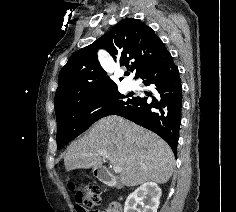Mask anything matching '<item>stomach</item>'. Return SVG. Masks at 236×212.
<instances>
[{
  "label": "stomach",
  "instance_id": "0dacf381",
  "mask_svg": "<svg viewBox=\"0 0 236 212\" xmlns=\"http://www.w3.org/2000/svg\"><path fill=\"white\" fill-rule=\"evenodd\" d=\"M93 173H94V174H97V176H98V172H96V170H94Z\"/></svg>",
  "mask_w": 236,
  "mask_h": 212
}]
</instances>
